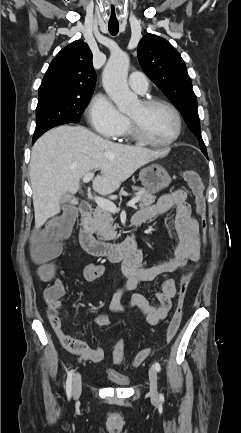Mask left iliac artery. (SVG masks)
I'll return each instance as SVG.
<instances>
[{
	"label": "left iliac artery",
	"mask_w": 241,
	"mask_h": 433,
	"mask_svg": "<svg viewBox=\"0 0 241 433\" xmlns=\"http://www.w3.org/2000/svg\"><path fill=\"white\" fill-rule=\"evenodd\" d=\"M154 367H155V369H156L158 372H160V370H161V366H160V364H159L158 362H155V363H154ZM160 398L163 399V394H160Z\"/></svg>",
	"instance_id": "obj_1"
}]
</instances>
